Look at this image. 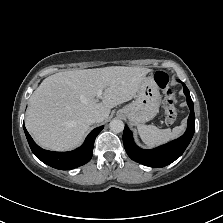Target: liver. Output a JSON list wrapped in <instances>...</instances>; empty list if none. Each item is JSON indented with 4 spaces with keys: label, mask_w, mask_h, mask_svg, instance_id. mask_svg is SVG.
<instances>
[{
    "label": "liver",
    "mask_w": 223,
    "mask_h": 223,
    "mask_svg": "<svg viewBox=\"0 0 223 223\" xmlns=\"http://www.w3.org/2000/svg\"><path fill=\"white\" fill-rule=\"evenodd\" d=\"M149 68L112 66L53 74L30 97L25 125L42 148L67 152L79 147L98 111L107 119L110 110L130 100ZM103 88L102 102L96 91Z\"/></svg>",
    "instance_id": "liver-1"
}]
</instances>
